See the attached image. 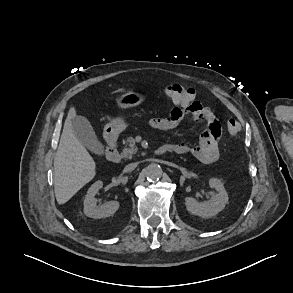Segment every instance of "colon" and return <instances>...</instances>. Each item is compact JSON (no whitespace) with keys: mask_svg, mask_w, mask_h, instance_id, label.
Returning a JSON list of instances; mask_svg holds the SVG:
<instances>
[{"mask_svg":"<svg viewBox=\"0 0 293 293\" xmlns=\"http://www.w3.org/2000/svg\"><path fill=\"white\" fill-rule=\"evenodd\" d=\"M162 91L166 97L177 105L190 109L196 104V94L193 89L180 84H169L162 87ZM240 124L235 119L227 122V130L231 135H236L240 131Z\"/></svg>","mask_w":293,"mask_h":293,"instance_id":"1","label":"colon"}]
</instances>
